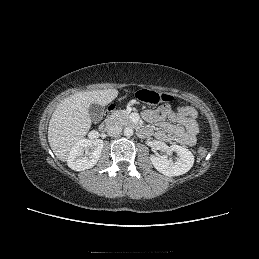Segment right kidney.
I'll return each mask as SVG.
<instances>
[{
    "instance_id": "obj_1",
    "label": "right kidney",
    "mask_w": 259,
    "mask_h": 259,
    "mask_svg": "<svg viewBox=\"0 0 259 259\" xmlns=\"http://www.w3.org/2000/svg\"><path fill=\"white\" fill-rule=\"evenodd\" d=\"M101 139H80L69 152L67 163L75 171H84L92 168L99 160L103 150Z\"/></svg>"
}]
</instances>
